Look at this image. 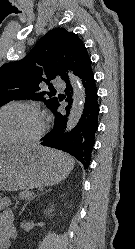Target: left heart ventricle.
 Returning a JSON list of instances; mask_svg holds the SVG:
<instances>
[{"instance_id": "1", "label": "left heart ventricle", "mask_w": 135, "mask_h": 249, "mask_svg": "<svg viewBox=\"0 0 135 249\" xmlns=\"http://www.w3.org/2000/svg\"><path fill=\"white\" fill-rule=\"evenodd\" d=\"M39 128L38 115L29 109L10 107L0 112V140L30 138Z\"/></svg>"}]
</instances>
